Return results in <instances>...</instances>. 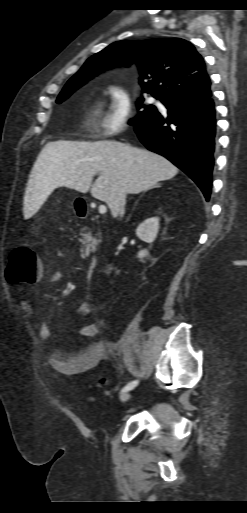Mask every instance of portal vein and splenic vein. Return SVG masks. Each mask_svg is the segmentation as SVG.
Returning a JSON list of instances; mask_svg holds the SVG:
<instances>
[{"label":"portal vein and splenic vein","mask_w":247,"mask_h":513,"mask_svg":"<svg viewBox=\"0 0 247 513\" xmlns=\"http://www.w3.org/2000/svg\"><path fill=\"white\" fill-rule=\"evenodd\" d=\"M106 211H107L106 206H104V205H100V206H99V213H100V214H105V213H106Z\"/></svg>","instance_id":"1"}]
</instances>
